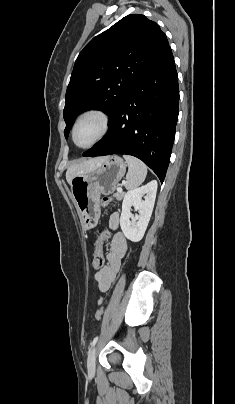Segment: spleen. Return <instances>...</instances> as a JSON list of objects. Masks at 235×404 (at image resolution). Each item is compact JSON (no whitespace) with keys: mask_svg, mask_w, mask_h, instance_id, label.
Wrapping results in <instances>:
<instances>
[{"mask_svg":"<svg viewBox=\"0 0 235 404\" xmlns=\"http://www.w3.org/2000/svg\"><path fill=\"white\" fill-rule=\"evenodd\" d=\"M124 159L128 164L125 187L126 189L131 190L144 182L147 175V167L136 157L124 155Z\"/></svg>","mask_w":235,"mask_h":404,"instance_id":"3e777b00","label":"spleen"}]
</instances>
